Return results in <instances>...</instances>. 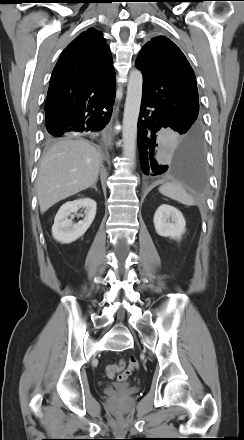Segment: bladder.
<instances>
[{"instance_id": "31cf9c89", "label": "bladder", "mask_w": 244, "mask_h": 440, "mask_svg": "<svg viewBox=\"0 0 244 440\" xmlns=\"http://www.w3.org/2000/svg\"><path fill=\"white\" fill-rule=\"evenodd\" d=\"M115 388L118 391H124L127 388V385H117Z\"/></svg>"}]
</instances>
